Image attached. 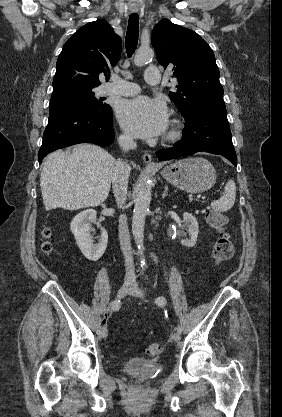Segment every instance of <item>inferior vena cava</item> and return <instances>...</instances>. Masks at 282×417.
<instances>
[{
  "label": "inferior vena cava",
  "mask_w": 282,
  "mask_h": 417,
  "mask_svg": "<svg viewBox=\"0 0 282 417\" xmlns=\"http://www.w3.org/2000/svg\"><path fill=\"white\" fill-rule=\"evenodd\" d=\"M118 142L122 150H129V148H136L137 146L132 136H128V134H120ZM129 172V164H126L124 160H117L112 176L113 192L117 204H125ZM118 231L121 251L125 259V281H135V267L126 215H120Z\"/></svg>",
  "instance_id": "inferior-vena-cava-1"
}]
</instances>
